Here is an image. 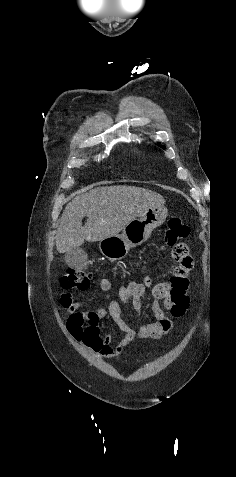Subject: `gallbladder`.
<instances>
[{
	"mask_svg": "<svg viewBox=\"0 0 236 477\" xmlns=\"http://www.w3.org/2000/svg\"><path fill=\"white\" fill-rule=\"evenodd\" d=\"M86 261L87 254L79 247L72 248L65 254V262L72 268L80 269L85 266Z\"/></svg>",
	"mask_w": 236,
	"mask_h": 477,
	"instance_id": "gallbladder-1",
	"label": "gallbladder"
}]
</instances>
